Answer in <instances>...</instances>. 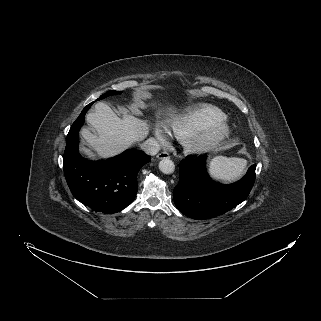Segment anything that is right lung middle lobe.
Masks as SVG:
<instances>
[{
    "label": "right lung middle lobe",
    "instance_id": "1",
    "mask_svg": "<svg viewBox=\"0 0 321 321\" xmlns=\"http://www.w3.org/2000/svg\"><path fill=\"white\" fill-rule=\"evenodd\" d=\"M120 93H121V92H118V91H108V92H106L105 94H103L102 96H100L97 100L106 98V97L109 96V95H116V94H120Z\"/></svg>",
    "mask_w": 321,
    "mask_h": 321
}]
</instances>
